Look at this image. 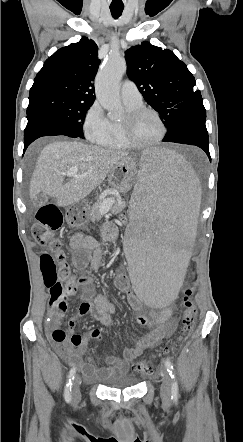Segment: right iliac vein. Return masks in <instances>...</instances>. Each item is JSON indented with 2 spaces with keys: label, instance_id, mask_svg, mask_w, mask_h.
<instances>
[{
  "label": "right iliac vein",
  "instance_id": "right-iliac-vein-1",
  "mask_svg": "<svg viewBox=\"0 0 243 442\" xmlns=\"http://www.w3.org/2000/svg\"><path fill=\"white\" fill-rule=\"evenodd\" d=\"M80 384L81 377L77 375L72 383V398L74 404H78L81 400Z\"/></svg>",
  "mask_w": 243,
  "mask_h": 442
}]
</instances>
